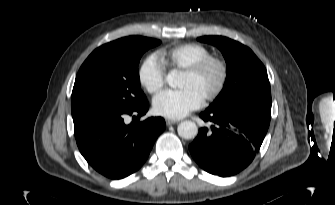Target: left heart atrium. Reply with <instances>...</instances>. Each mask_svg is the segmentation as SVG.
Segmentation results:
<instances>
[{"mask_svg": "<svg viewBox=\"0 0 335 205\" xmlns=\"http://www.w3.org/2000/svg\"><path fill=\"white\" fill-rule=\"evenodd\" d=\"M203 99V96L191 87L180 90H166L154 98L153 110L157 115L179 119L200 108Z\"/></svg>", "mask_w": 335, "mask_h": 205, "instance_id": "left-heart-atrium-1", "label": "left heart atrium"}]
</instances>
